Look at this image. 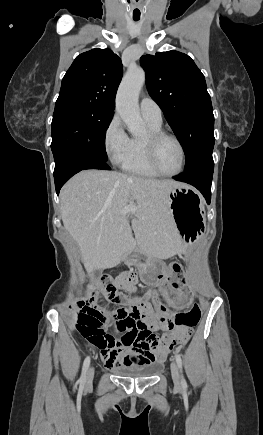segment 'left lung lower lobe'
Here are the masks:
<instances>
[{
    "label": "left lung lower lobe",
    "instance_id": "0a47b994",
    "mask_svg": "<svg viewBox=\"0 0 263 435\" xmlns=\"http://www.w3.org/2000/svg\"><path fill=\"white\" fill-rule=\"evenodd\" d=\"M213 170L214 162L212 154H209L199 158L186 168L183 175L174 176L173 178L196 187L203 194L206 201L210 203Z\"/></svg>",
    "mask_w": 263,
    "mask_h": 435
}]
</instances>
